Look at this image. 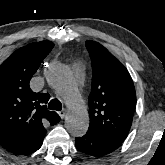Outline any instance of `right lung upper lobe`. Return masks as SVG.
I'll use <instances>...</instances> for the list:
<instances>
[{
	"instance_id": "cb5924a9",
	"label": "right lung upper lobe",
	"mask_w": 165,
	"mask_h": 165,
	"mask_svg": "<svg viewBox=\"0 0 165 165\" xmlns=\"http://www.w3.org/2000/svg\"><path fill=\"white\" fill-rule=\"evenodd\" d=\"M54 47L50 41L28 44L0 65V143L19 153L46 134L44 126L60 121L48 111L49 94L35 93L29 82L42 60Z\"/></svg>"
}]
</instances>
